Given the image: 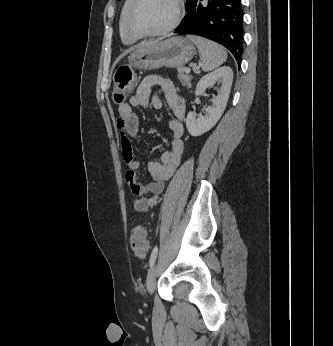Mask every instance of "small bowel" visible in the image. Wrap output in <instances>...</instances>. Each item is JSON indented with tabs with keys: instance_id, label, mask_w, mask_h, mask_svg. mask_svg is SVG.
I'll return each mask as SVG.
<instances>
[{
	"instance_id": "c3829d8e",
	"label": "small bowel",
	"mask_w": 333,
	"mask_h": 346,
	"mask_svg": "<svg viewBox=\"0 0 333 346\" xmlns=\"http://www.w3.org/2000/svg\"><path fill=\"white\" fill-rule=\"evenodd\" d=\"M154 86H158V89L152 94ZM161 96L171 113L169 118V128L172 132L171 149L165 151L159 161H149L148 172L152 177V181L144 185L139 181L140 164L134 157L131 143V139L137 137L139 125L138 116L133 108L145 107L151 101L155 108L160 109L163 105ZM185 111V100L179 94L173 82L156 75L146 76L129 101L120 104L118 107L117 126L120 130L121 151L127 166L125 179L132 194L137 196L132 204L138 212L146 213L157 205L165 182L172 177L181 162L184 152L182 121Z\"/></svg>"
}]
</instances>
